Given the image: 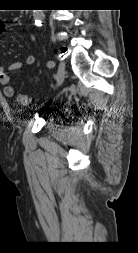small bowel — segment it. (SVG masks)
I'll return each mask as SVG.
<instances>
[{"instance_id":"c3829d8e","label":"small bowel","mask_w":138,"mask_h":253,"mask_svg":"<svg viewBox=\"0 0 138 253\" xmlns=\"http://www.w3.org/2000/svg\"><path fill=\"white\" fill-rule=\"evenodd\" d=\"M5 29V22L0 21V34ZM35 62V56L33 54H28L25 57V63L27 65H32ZM23 66L22 62H14L7 67L0 65V84L3 86L4 95L7 97H13L15 95V88L11 84L10 72L19 70Z\"/></svg>"}]
</instances>
